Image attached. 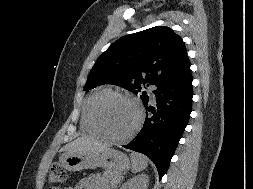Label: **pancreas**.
Wrapping results in <instances>:
<instances>
[{"instance_id":"1","label":"pancreas","mask_w":253,"mask_h":189,"mask_svg":"<svg viewBox=\"0 0 253 189\" xmlns=\"http://www.w3.org/2000/svg\"><path fill=\"white\" fill-rule=\"evenodd\" d=\"M121 177L122 174L117 170H106L102 175L104 183L111 187H115L120 182Z\"/></svg>"}]
</instances>
